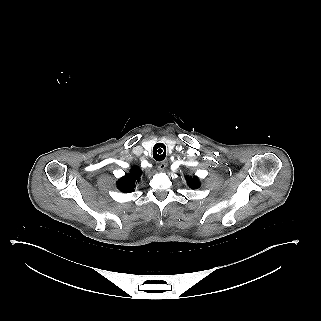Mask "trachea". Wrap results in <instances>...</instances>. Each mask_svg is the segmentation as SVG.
Returning <instances> with one entry per match:
<instances>
[{
	"label": "trachea",
	"mask_w": 321,
	"mask_h": 321,
	"mask_svg": "<svg viewBox=\"0 0 321 321\" xmlns=\"http://www.w3.org/2000/svg\"><path fill=\"white\" fill-rule=\"evenodd\" d=\"M166 156V147L163 143H157L153 148V157L157 161H162Z\"/></svg>",
	"instance_id": "1"
}]
</instances>
